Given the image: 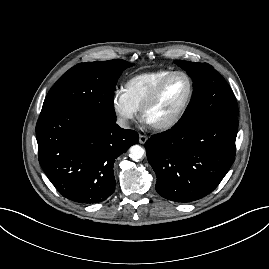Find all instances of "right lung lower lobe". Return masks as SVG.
Segmentation results:
<instances>
[{
  "mask_svg": "<svg viewBox=\"0 0 269 269\" xmlns=\"http://www.w3.org/2000/svg\"><path fill=\"white\" fill-rule=\"evenodd\" d=\"M115 122L68 109L40 114L36 125L39 162L62 196L95 204L113 193L114 161L138 142L137 132Z\"/></svg>",
  "mask_w": 269,
  "mask_h": 269,
  "instance_id": "98d812e1",
  "label": "right lung lower lobe"
}]
</instances>
